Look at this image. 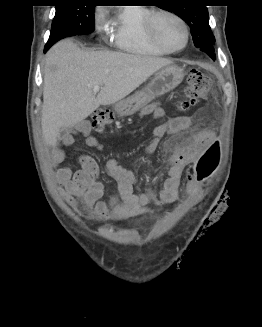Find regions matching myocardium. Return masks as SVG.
Here are the masks:
<instances>
[{
  "label": "myocardium",
  "instance_id": "1",
  "mask_svg": "<svg viewBox=\"0 0 262 327\" xmlns=\"http://www.w3.org/2000/svg\"><path fill=\"white\" fill-rule=\"evenodd\" d=\"M161 15H167V16L175 18L184 27L185 42L181 47L171 48L160 38L158 31H157V27H156V22H157V18ZM145 29H146V32L148 33L149 37L151 38V40L156 45H158L159 47H161L162 49H164L165 51H167L169 53H176V52L182 51L183 49L186 48V46L188 45L189 40H190V29H189V26H188L187 22L185 21V19L178 13L171 11L169 9L159 8V9L152 10L146 17Z\"/></svg>",
  "mask_w": 262,
  "mask_h": 327
}]
</instances>
